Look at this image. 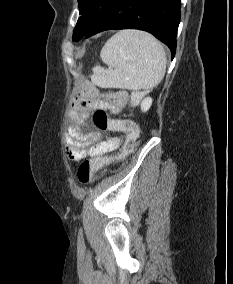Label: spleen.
Wrapping results in <instances>:
<instances>
[{
	"mask_svg": "<svg viewBox=\"0 0 233 284\" xmlns=\"http://www.w3.org/2000/svg\"><path fill=\"white\" fill-rule=\"evenodd\" d=\"M100 57L108 69H93L92 81L103 88L149 90L157 86L166 71V54L149 33L126 29L104 45Z\"/></svg>",
	"mask_w": 233,
	"mask_h": 284,
	"instance_id": "3e777b00",
	"label": "spleen"
}]
</instances>
